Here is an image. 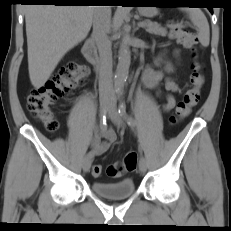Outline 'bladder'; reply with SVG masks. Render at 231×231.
<instances>
[{"mask_svg": "<svg viewBox=\"0 0 231 231\" xmlns=\"http://www.w3.org/2000/svg\"><path fill=\"white\" fill-rule=\"evenodd\" d=\"M91 189L97 195L109 199H122L131 196L135 191V183L132 178H124L117 182L94 181Z\"/></svg>", "mask_w": 231, "mask_h": 231, "instance_id": "1", "label": "bladder"}]
</instances>
